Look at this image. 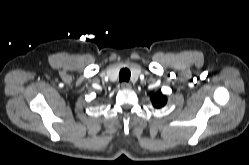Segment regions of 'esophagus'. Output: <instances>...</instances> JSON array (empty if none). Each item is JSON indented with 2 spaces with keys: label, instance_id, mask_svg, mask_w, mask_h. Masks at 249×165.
<instances>
[{
  "label": "esophagus",
  "instance_id": "esophagus-1",
  "mask_svg": "<svg viewBox=\"0 0 249 165\" xmlns=\"http://www.w3.org/2000/svg\"><path fill=\"white\" fill-rule=\"evenodd\" d=\"M121 88H122V89H131L132 86H131V84L128 83V82H122V83H121Z\"/></svg>",
  "mask_w": 249,
  "mask_h": 165
}]
</instances>
